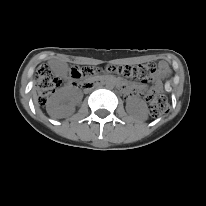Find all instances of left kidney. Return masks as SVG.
Listing matches in <instances>:
<instances>
[{"mask_svg":"<svg viewBox=\"0 0 206 206\" xmlns=\"http://www.w3.org/2000/svg\"><path fill=\"white\" fill-rule=\"evenodd\" d=\"M126 110L129 114L137 115L144 120L147 119L148 107L143 100L130 98L127 102Z\"/></svg>","mask_w":206,"mask_h":206,"instance_id":"obj_1","label":"left kidney"}]
</instances>
